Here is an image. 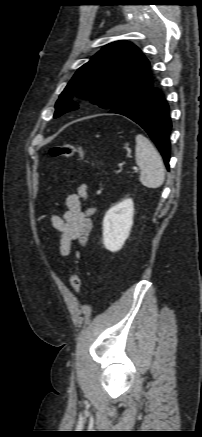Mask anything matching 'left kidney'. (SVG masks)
<instances>
[{
    "mask_svg": "<svg viewBox=\"0 0 202 437\" xmlns=\"http://www.w3.org/2000/svg\"><path fill=\"white\" fill-rule=\"evenodd\" d=\"M134 203L126 199L111 207L103 220V243L111 252L119 251L130 235L133 225Z\"/></svg>",
    "mask_w": 202,
    "mask_h": 437,
    "instance_id": "obj_1",
    "label": "left kidney"
}]
</instances>
